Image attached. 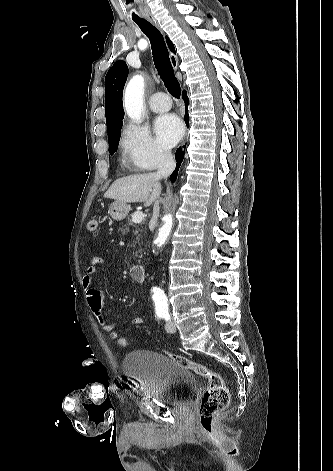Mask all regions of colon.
I'll return each mask as SVG.
<instances>
[{
	"label": "colon",
	"mask_w": 333,
	"mask_h": 471,
	"mask_svg": "<svg viewBox=\"0 0 333 471\" xmlns=\"http://www.w3.org/2000/svg\"><path fill=\"white\" fill-rule=\"evenodd\" d=\"M87 228L90 232H95L98 229V220H89ZM115 342L122 348L128 345V340L121 335H118L115 338ZM165 354L180 367L207 380L208 386L203 393L199 409V424L204 433H211L213 431L216 416L228 406L230 400L229 390L225 385L222 376L219 373L208 369L205 365L194 362L184 356L169 352H165Z\"/></svg>",
	"instance_id": "1"
}]
</instances>
